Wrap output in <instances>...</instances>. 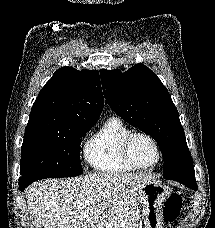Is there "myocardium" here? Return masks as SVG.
I'll return each mask as SVG.
<instances>
[{
	"label": "myocardium",
	"mask_w": 215,
	"mask_h": 228,
	"mask_svg": "<svg viewBox=\"0 0 215 228\" xmlns=\"http://www.w3.org/2000/svg\"><path fill=\"white\" fill-rule=\"evenodd\" d=\"M138 137H144L147 140H149L152 143V145L156 151V155H157L156 161L153 165H151L149 167L138 166L132 158V153H131L132 145H133V142L135 141V139H137ZM121 153H122V157H123L125 163L131 169L138 170V171H151L159 165V163L161 162V159H162V151H161V147H160L158 141L152 135H150L149 133L144 132V131H133L130 134H128L122 141Z\"/></svg>",
	"instance_id": "f54148a6"
}]
</instances>
